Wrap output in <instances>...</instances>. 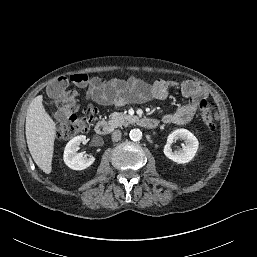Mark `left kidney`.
Segmentation results:
<instances>
[{
	"label": "left kidney",
	"instance_id": "5707ae66",
	"mask_svg": "<svg viewBox=\"0 0 257 257\" xmlns=\"http://www.w3.org/2000/svg\"><path fill=\"white\" fill-rule=\"evenodd\" d=\"M176 139H182L185 142V144L182 145V149L178 152L171 149V144ZM198 146L199 142L197 138L190 131L183 128L176 129L171 132L167 138V143L164 147V154L173 162L185 164L194 158L198 150Z\"/></svg>",
	"mask_w": 257,
	"mask_h": 257
}]
</instances>
